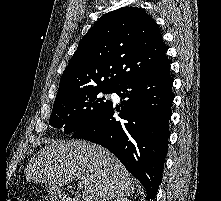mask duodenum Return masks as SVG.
Instances as JSON below:
<instances>
[{
  "mask_svg": "<svg viewBox=\"0 0 221 201\" xmlns=\"http://www.w3.org/2000/svg\"><path fill=\"white\" fill-rule=\"evenodd\" d=\"M58 201H73V200L70 198L63 200L61 196H58Z\"/></svg>",
  "mask_w": 221,
  "mask_h": 201,
  "instance_id": "duodenum-1",
  "label": "duodenum"
}]
</instances>
